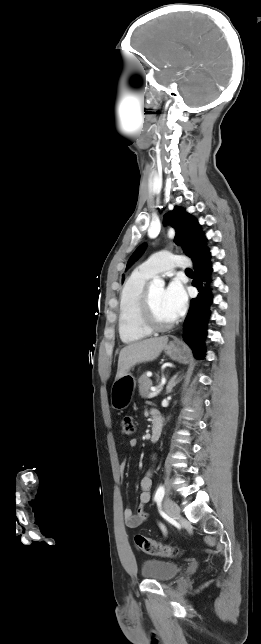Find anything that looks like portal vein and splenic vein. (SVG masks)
Returning a JSON list of instances; mask_svg holds the SVG:
<instances>
[{"mask_svg": "<svg viewBox=\"0 0 261 644\" xmlns=\"http://www.w3.org/2000/svg\"><path fill=\"white\" fill-rule=\"evenodd\" d=\"M161 390H162V388L154 389V390H153V391L148 395V397H149V398H153V397L157 396V395L160 393V391H161Z\"/></svg>", "mask_w": 261, "mask_h": 644, "instance_id": "1", "label": "portal vein and splenic vein"}]
</instances>
